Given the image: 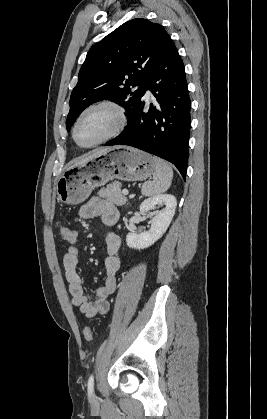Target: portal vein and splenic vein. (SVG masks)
Listing matches in <instances>:
<instances>
[{
	"label": "portal vein and splenic vein",
	"instance_id": "obj_1",
	"mask_svg": "<svg viewBox=\"0 0 267 419\" xmlns=\"http://www.w3.org/2000/svg\"><path fill=\"white\" fill-rule=\"evenodd\" d=\"M122 194H123V195H128V194H129V191H128L127 189H123V190H122Z\"/></svg>",
	"mask_w": 267,
	"mask_h": 419
}]
</instances>
